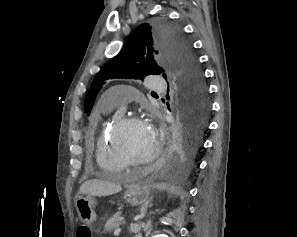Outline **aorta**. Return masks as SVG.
<instances>
[{
    "instance_id": "aorta-1",
    "label": "aorta",
    "mask_w": 297,
    "mask_h": 237,
    "mask_svg": "<svg viewBox=\"0 0 297 237\" xmlns=\"http://www.w3.org/2000/svg\"><path fill=\"white\" fill-rule=\"evenodd\" d=\"M135 237H142V234H141V233H137V234L135 235Z\"/></svg>"
}]
</instances>
